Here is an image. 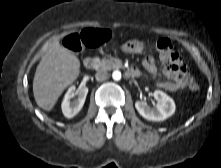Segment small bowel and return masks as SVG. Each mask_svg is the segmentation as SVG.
<instances>
[{
	"label": "small bowel",
	"instance_id": "1",
	"mask_svg": "<svg viewBox=\"0 0 221 168\" xmlns=\"http://www.w3.org/2000/svg\"><path fill=\"white\" fill-rule=\"evenodd\" d=\"M160 58L164 65L163 74L169 80L159 82L158 87L168 91H177L185 88L191 77L186 59L174 51L168 56L160 55ZM142 64L149 73H156L157 66L152 56H146Z\"/></svg>",
	"mask_w": 221,
	"mask_h": 168
}]
</instances>
